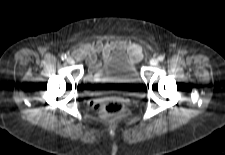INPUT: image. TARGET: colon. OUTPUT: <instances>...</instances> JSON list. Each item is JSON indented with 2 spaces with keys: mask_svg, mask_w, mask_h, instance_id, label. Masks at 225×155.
<instances>
[{
  "mask_svg": "<svg viewBox=\"0 0 225 155\" xmlns=\"http://www.w3.org/2000/svg\"><path fill=\"white\" fill-rule=\"evenodd\" d=\"M93 105L99 110L102 119L106 121H114L132 116V111L126 108L122 99L117 97L102 101L95 100Z\"/></svg>",
  "mask_w": 225,
  "mask_h": 155,
  "instance_id": "obj_1",
  "label": "colon"
}]
</instances>
